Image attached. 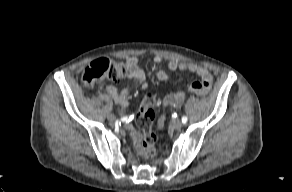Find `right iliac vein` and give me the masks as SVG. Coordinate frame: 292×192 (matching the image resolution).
Masks as SVG:
<instances>
[{
    "label": "right iliac vein",
    "instance_id": "63e3f726",
    "mask_svg": "<svg viewBox=\"0 0 292 192\" xmlns=\"http://www.w3.org/2000/svg\"><path fill=\"white\" fill-rule=\"evenodd\" d=\"M107 118H108V120H109L110 122H114V121H115V116H114L113 114H109V115L107 116Z\"/></svg>",
    "mask_w": 292,
    "mask_h": 192
}]
</instances>
